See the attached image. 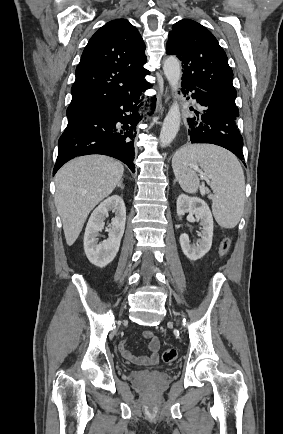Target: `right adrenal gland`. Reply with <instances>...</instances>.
Masks as SVG:
<instances>
[{"instance_id":"2a0ac1e0","label":"right adrenal gland","mask_w":283,"mask_h":434,"mask_svg":"<svg viewBox=\"0 0 283 434\" xmlns=\"http://www.w3.org/2000/svg\"><path fill=\"white\" fill-rule=\"evenodd\" d=\"M122 182H123V180H121V181L118 183L117 187H119V188H121V189H124V185L122 184Z\"/></svg>"}]
</instances>
